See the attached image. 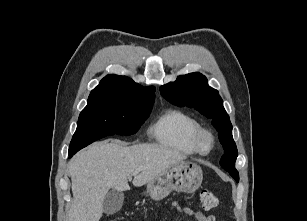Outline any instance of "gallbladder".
Returning <instances> with one entry per match:
<instances>
[{
    "label": "gallbladder",
    "instance_id": "1",
    "mask_svg": "<svg viewBox=\"0 0 307 221\" xmlns=\"http://www.w3.org/2000/svg\"><path fill=\"white\" fill-rule=\"evenodd\" d=\"M124 202V194L117 190H110L103 200V212L106 215L117 213Z\"/></svg>",
    "mask_w": 307,
    "mask_h": 221
}]
</instances>
